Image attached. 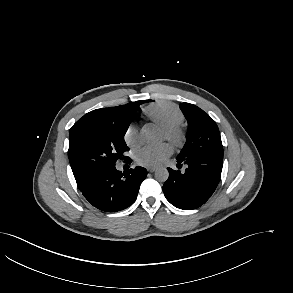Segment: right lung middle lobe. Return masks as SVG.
<instances>
[{
	"label": "right lung middle lobe",
	"mask_w": 293,
	"mask_h": 293,
	"mask_svg": "<svg viewBox=\"0 0 293 293\" xmlns=\"http://www.w3.org/2000/svg\"><path fill=\"white\" fill-rule=\"evenodd\" d=\"M116 111L107 117H94L75 123L70 129L69 159L78 167L99 172L115 165L129 148L124 135L141 103Z\"/></svg>",
	"instance_id": "right-lung-middle-lobe-1"
}]
</instances>
